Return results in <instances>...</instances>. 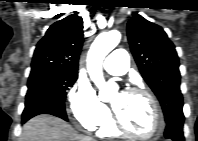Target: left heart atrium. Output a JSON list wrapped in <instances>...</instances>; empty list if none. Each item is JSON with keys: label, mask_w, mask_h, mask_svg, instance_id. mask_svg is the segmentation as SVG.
I'll return each mask as SVG.
<instances>
[{"label": "left heart atrium", "mask_w": 198, "mask_h": 141, "mask_svg": "<svg viewBox=\"0 0 198 141\" xmlns=\"http://www.w3.org/2000/svg\"><path fill=\"white\" fill-rule=\"evenodd\" d=\"M126 94H127V93H126L125 91H122V92L120 93V96H121V97H124Z\"/></svg>", "instance_id": "left-heart-atrium-1"}]
</instances>
